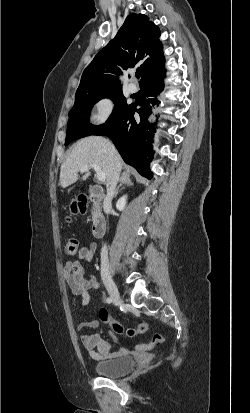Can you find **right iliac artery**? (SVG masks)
Here are the masks:
<instances>
[{
    "label": "right iliac artery",
    "instance_id": "obj_1",
    "mask_svg": "<svg viewBox=\"0 0 250 413\" xmlns=\"http://www.w3.org/2000/svg\"><path fill=\"white\" fill-rule=\"evenodd\" d=\"M106 302H107L108 304H110V303L112 302V299H111L110 297H108V298L106 299Z\"/></svg>",
    "mask_w": 250,
    "mask_h": 413
}]
</instances>
